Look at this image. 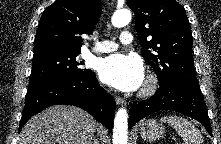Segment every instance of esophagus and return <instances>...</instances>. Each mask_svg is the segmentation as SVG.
<instances>
[{
    "instance_id": "esophagus-1",
    "label": "esophagus",
    "mask_w": 221,
    "mask_h": 144,
    "mask_svg": "<svg viewBox=\"0 0 221 144\" xmlns=\"http://www.w3.org/2000/svg\"><path fill=\"white\" fill-rule=\"evenodd\" d=\"M115 101H116V103H117L118 105H124V104H126V102L124 101V99L121 98V97H118V96L115 97Z\"/></svg>"
}]
</instances>
